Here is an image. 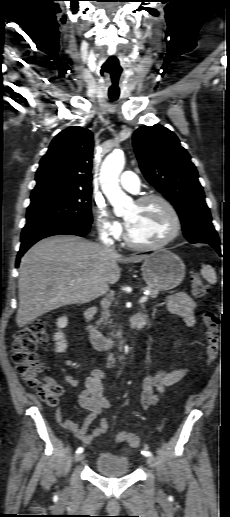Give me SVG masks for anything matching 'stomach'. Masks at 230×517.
<instances>
[{
    "mask_svg": "<svg viewBox=\"0 0 230 517\" xmlns=\"http://www.w3.org/2000/svg\"><path fill=\"white\" fill-rule=\"evenodd\" d=\"M141 271L147 285L158 291L177 287L185 277V265L181 258L165 249L148 255Z\"/></svg>",
    "mask_w": 230,
    "mask_h": 517,
    "instance_id": "1",
    "label": "stomach"
}]
</instances>
